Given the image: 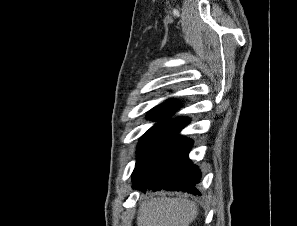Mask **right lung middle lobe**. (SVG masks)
<instances>
[{
  "instance_id": "1",
  "label": "right lung middle lobe",
  "mask_w": 297,
  "mask_h": 226,
  "mask_svg": "<svg viewBox=\"0 0 297 226\" xmlns=\"http://www.w3.org/2000/svg\"><path fill=\"white\" fill-rule=\"evenodd\" d=\"M167 122L161 121L150 128L141 138L138 145V159L136 165L139 163L145 152L148 150L158 133L163 129Z\"/></svg>"
}]
</instances>
